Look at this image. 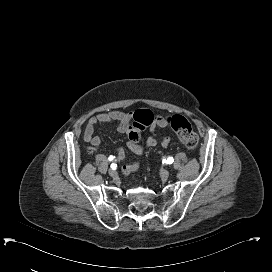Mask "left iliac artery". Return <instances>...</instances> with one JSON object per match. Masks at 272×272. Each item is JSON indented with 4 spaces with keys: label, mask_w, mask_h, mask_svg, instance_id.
I'll use <instances>...</instances> for the list:
<instances>
[{
    "label": "left iliac artery",
    "mask_w": 272,
    "mask_h": 272,
    "mask_svg": "<svg viewBox=\"0 0 272 272\" xmlns=\"http://www.w3.org/2000/svg\"><path fill=\"white\" fill-rule=\"evenodd\" d=\"M173 162H174L173 157H168V158L166 159V163H167V164H172Z\"/></svg>",
    "instance_id": "44dca946"
}]
</instances>
